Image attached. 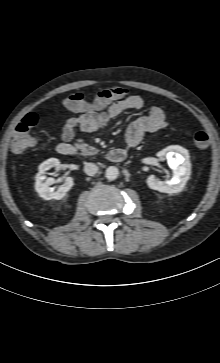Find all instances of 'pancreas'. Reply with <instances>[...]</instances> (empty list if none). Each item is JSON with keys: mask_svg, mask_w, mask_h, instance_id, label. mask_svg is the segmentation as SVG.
I'll return each instance as SVG.
<instances>
[{"mask_svg": "<svg viewBox=\"0 0 220 363\" xmlns=\"http://www.w3.org/2000/svg\"><path fill=\"white\" fill-rule=\"evenodd\" d=\"M76 147L82 152V155L84 156H90L95 155L99 152V150L93 146H89L86 143H76Z\"/></svg>", "mask_w": 220, "mask_h": 363, "instance_id": "cf45deb5", "label": "pancreas"}]
</instances>
